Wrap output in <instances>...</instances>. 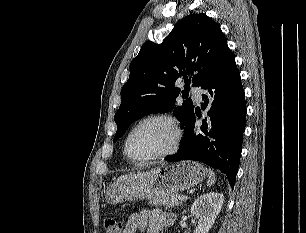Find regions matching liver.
Instances as JSON below:
<instances>
[{
    "instance_id": "1",
    "label": "liver",
    "mask_w": 306,
    "mask_h": 233,
    "mask_svg": "<svg viewBox=\"0 0 306 233\" xmlns=\"http://www.w3.org/2000/svg\"><path fill=\"white\" fill-rule=\"evenodd\" d=\"M138 174H140V173H138ZM135 175H137V174L122 175V176H120V177L117 179V181H121V180L127 179V178H132V177H134Z\"/></svg>"
}]
</instances>
